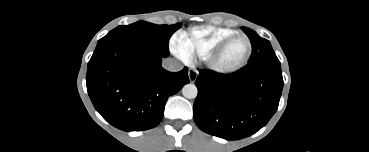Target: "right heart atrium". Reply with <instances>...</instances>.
I'll use <instances>...</instances> for the list:
<instances>
[{"label":"right heart atrium","mask_w":369,"mask_h":152,"mask_svg":"<svg viewBox=\"0 0 369 152\" xmlns=\"http://www.w3.org/2000/svg\"><path fill=\"white\" fill-rule=\"evenodd\" d=\"M172 49H173L174 51H176V52H179V53L181 54L180 49H179V46H178L177 39H176V41H174V42L172 43Z\"/></svg>","instance_id":"d8ad5b80"}]
</instances>
